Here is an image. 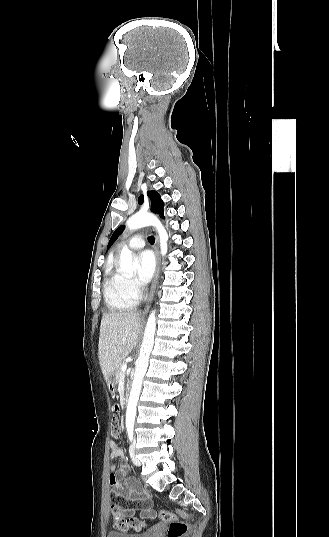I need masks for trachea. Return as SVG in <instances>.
Instances as JSON below:
<instances>
[{
    "instance_id": "1",
    "label": "trachea",
    "mask_w": 329,
    "mask_h": 537,
    "mask_svg": "<svg viewBox=\"0 0 329 537\" xmlns=\"http://www.w3.org/2000/svg\"><path fill=\"white\" fill-rule=\"evenodd\" d=\"M149 242H150L151 244H154V242H155V238H154L153 236H150V237H149Z\"/></svg>"
}]
</instances>
